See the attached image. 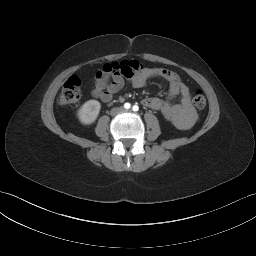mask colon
<instances>
[{
    "label": "colon",
    "instance_id": "5ec220e1",
    "mask_svg": "<svg viewBox=\"0 0 256 256\" xmlns=\"http://www.w3.org/2000/svg\"><path fill=\"white\" fill-rule=\"evenodd\" d=\"M141 65L136 62L118 63L113 62L103 66L96 74L97 80L108 79L114 75L120 74L126 77L131 76L135 71L139 70ZM81 97V81L77 76L69 77L62 86L58 102L62 105L71 104L78 101ZM192 103L198 110H203L206 107L207 101L201 92H197Z\"/></svg>",
    "mask_w": 256,
    "mask_h": 256
}]
</instances>
